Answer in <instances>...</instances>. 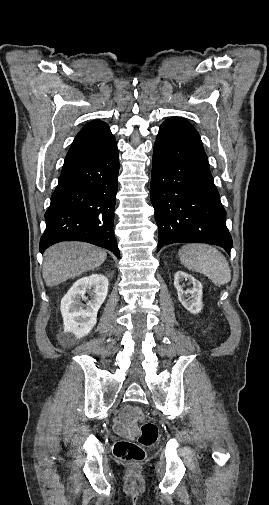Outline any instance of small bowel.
I'll use <instances>...</instances> for the list:
<instances>
[{"label": "small bowel", "instance_id": "obj_1", "mask_svg": "<svg viewBox=\"0 0 269 505\" xmlns=\"http://www.w3.org/2000/svg\"><path fill=\"white\" fill-rule=\"evenodd\" d=\"M133 409L132 406L125 407L120 417L114 420V429L121 436L132 437L138 432V428L132 416Z\"/></svg>", "mask_w": 269, "mask_h": 505}]
</instances>
